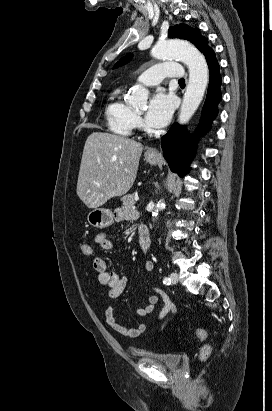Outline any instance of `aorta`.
I'll list each match as a JSON object with an SVG mask.
<instances>
[{
	"mask_svg": "<svg viewBox=\"0 0 272 411\" xmlns=\"http://www.w3.org/2000/svg\"><path fill=\"white\" fill-rule=\"evenodd\" d=\"M152 56L157 59L178 58L189 68V82L183 97L178 122L186 124L199 107L209 80L208 65L204 56L191 44L180 40L159 41L152 49ZM148 91L136 85L128 93L129 102L136 107L146 105ZM164 203L159 201L153 216L157 217Z\"/></svg>",
	"mask_w": 272,
	"mask_h": 411,
	"instance_id": "aorta-1",
	"label": "aorta"
}]
</instances>
